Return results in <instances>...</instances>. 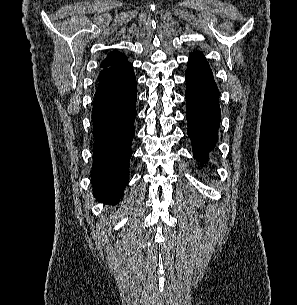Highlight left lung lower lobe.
I'll return each mask as SVG.
<instances>
[{"instance_id":"left-lung-lower-lobe-1","label":"left lung lower lobe","mask_w":297,"mask_h":305,"mask_svg":"<svg viewBox=\"0 0 297 305\" xmlns=\"http://www.w3.org/2000/svg\"><path fill=\"white\" fill-rule=\"evenodd\" d=\"M186 118L194 157L205 162L218 139L221 118L219 91L209 65L187 66Z\"/></svg>"}]
</instances>
